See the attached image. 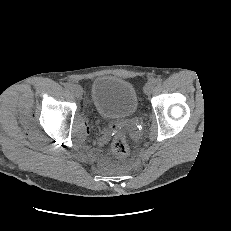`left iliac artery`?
I'll return each instance as SVG.
<instances>
[{"mask_svg":"<svg viewBox=\"0 0 231 231\" xmlns=\"http://www.w3.org/2000/svg\"><path fill=\"white\" fill-rule=\"evenodd\" d=\"M161 83H162V78H157V79L155 80V84L159 85V84H161Z\"/></svg>","mask_w":231,"mask_h":231,"instance_id":"1","label":"left iliac artery"}]
</instances>
